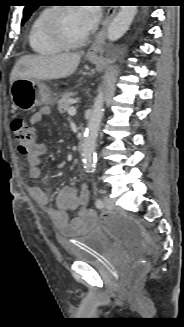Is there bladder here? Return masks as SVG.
<instances>
[{
  "instance_id": "bladder-1",
  "label": "bladder",
  "mask_w": 184,
  "mask_h": 327,
  "mask_svg": "<svg viewBox=\"0 0 184 327\" xmlns=\"http://www.w3.org/2000/svg\"><path fill=\"white\" fill-rule=\"evenodd\" d=\"M110 238L100 229H94L79 237L76 243L65 245L74 261L81 263H97L98 258L111 249Z\"/></svg>"
}]
</instances>
